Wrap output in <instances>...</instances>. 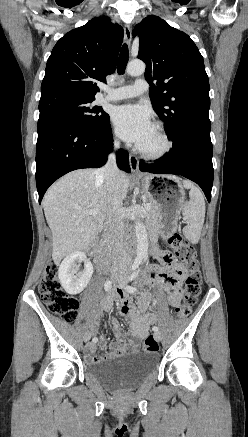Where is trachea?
<instances>
[{
  "mask_svg": "<svg viewBox=\"0 0 248 437\" xmlns=\"http://www.w3.org/2000/svg\"><path fill=\"white\" fill-rule=\"evenodd\" d=\"M128 58H129L128 46H127V44H123L121 51H120L118 66H117V72L119 75H122L125 73Z\"/></svg>",
  "mask_w": 248,
  "mask_h": 437,
  "instance_id": "trachea-1",
  "label": "trachea"
}]
</instances>
